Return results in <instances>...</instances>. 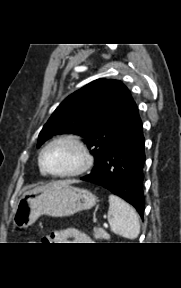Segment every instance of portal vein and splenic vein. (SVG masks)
<instances>
[{"label":"portal vein and splenic vein","instance_id":"1","mask_svg":"<svg viewBox=\"0 0 181 288\" xmlns=\"http://www.w3.org/2000/svg\"><path fill=\"white\" fill-rule=\"evenodd\" d=\"M103 226H104L105 228H108V224H107V223H104Z\"/></svg>","mask_w":181,"mask_h":288}]
</instances>
